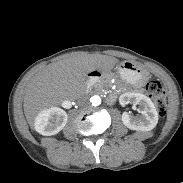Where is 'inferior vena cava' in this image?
<instances>
[{
	"label": "inferior vena cava",
	"mask_w": 183,
	"mask_h": 183,
	"mask_svg": "<svg viewBox=\"0 0 183 183\" xmlns=\"http://www.w3.org/2000/svg\"><path fill=\"white\" fill-rule=\"evenodd\" d=\"M77 103L79 105H87L89 103V98L87 96H80L78 99H77Z\"/></svg>",
	"instance_id": "inferior-vena-cava-1"
}]
</instances>
